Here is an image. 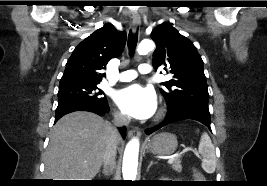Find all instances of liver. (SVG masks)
Listing matches in <instances>:
<instances>
[{"label":"liver","mask_w":267,"mask_h":186,"mask_svg":"<svg viewBox=\"0 0 267 186\" xmlns=\"http://www.w3.org/2000/svg\"><path fill=\"white\" fill-rule=\"evenodd\" d=\"M110 127L109 122L90 112L78 111L62 117L50 135L44 160L45 177L92 180L102 165Z\"/></svg>","instance_id":"obj_1"}]
</instances>
